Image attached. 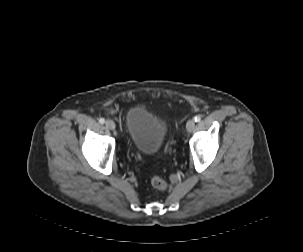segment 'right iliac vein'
I'll list each match as a JSON object with an SVG mask.
<instances>
[{
    "instance_id": "right-iliac-vein-1",
    "label": "right iliac vein",
    "mask_w": 303,
    "mask_h": 252,
    "mask_svg": "<svg viewBox=\"0 0 303 252\" xmlns=\"http://www.w3.org/2000/svg\"><path fill=\"white\" fill-rule=\"evenodd\" d=\"M105 125L110 130H114L116 128V124L113 120H106Z\"/></svg>"
}]
</instances>
